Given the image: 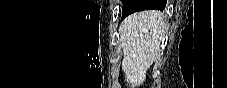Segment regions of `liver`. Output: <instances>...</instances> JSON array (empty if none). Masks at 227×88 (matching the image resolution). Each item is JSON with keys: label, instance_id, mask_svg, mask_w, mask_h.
I'll use <instances>...</instances> for the list:
<instances>
[{"label": "liver", "instance_id": "obj_1", "mask_svg": "<svg viewBox=\"0 0 227 88\" xmlns=\"http://www.w3.org/2000/svg\"><path fill=\"white\" fill-rule=\"evenodd\" d=\"M164 25V14L157 10L134 13L120 24L122 71L131 88L144 83L147 70L160 52Z\"/></svg>", "mask_w": 227, "mask_h": 88}]
</instances>
